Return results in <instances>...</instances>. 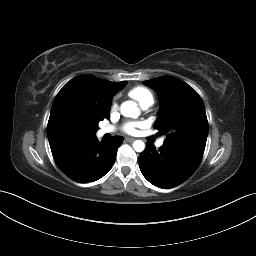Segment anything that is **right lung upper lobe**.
I'll use <instances>...</instances> for the list:
<instances>
[{
	"label": "right lung upper lobe",
	"mask_w": 256,
	"mask_h": 256,
	"mask_svg": "<svg viewBox=\"0 0 256 256\" xmlns=\"http://www.w3.org/2000/svg\"><path fill=\"white\" fill-rule=\"evenodd\" d=\"M126 84V81L110 82L87 74L69 81L51 108L47 125L49 143L65 139L71 123L95 126L104 118L109 119L112 96Z\"/></svg>",
	"instance_id": "obj_1"
}]
</instances>
